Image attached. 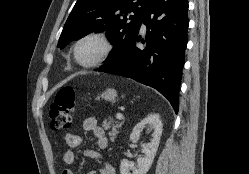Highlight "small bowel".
Returning a JSON list of instances; mask_svg holds the SVG:
<instances>
[{
    "instance_id": "obj_1",
    "label": "small bowel",
    "mask_w": 249,
    "mask_h": 174,
    "mask_svg": "<svg viewBox=\"0 0 249 174\" xmlns=\"http://www.w3.org/2000/svg\"><path fill=\"white\" fill-rule=\"evenodd\" d=\"M82 130L92 134L99 150H104L108 147V139L105 132L100 126H98L97 120L94 117H89L83 120ZM65 142L70 148H78L82 144V137L78 134L67 133L65 135ZM99 150L85 149L82 151V155L97 160L101 157ZM75 160L76 154L73 150H67L63 154L64 163L70 165L73 164ZM97 169L99 174H115L114 168L108 163L99 165ZM62 174H73V172L70 169H65Z\"/></svg>"
}]
</instances>
